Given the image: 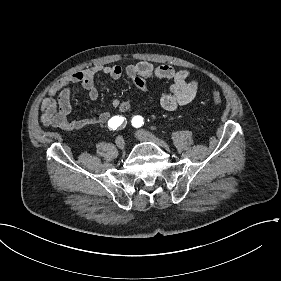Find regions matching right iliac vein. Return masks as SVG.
Wrapping results in <instances>:
<instances>
[{"mask_svg": "<svg viewBox=\"0 0 281 281\" xmlns=\"http://www.w3.org/2000/svg\"><path fill=\"white\" fill-rule=\"evenodd\" d=\"M115 144H116V146H117L119 149H124L125 142H124L123 137H122V136H118V137L115 139Z\"/></svg>", "mask_w": 281, "mask_h": 281, "instance_id": "obj_1", "label": "right iliac vein"}]
</instances>
